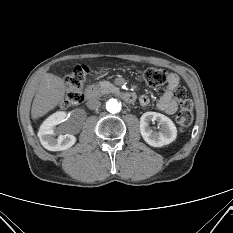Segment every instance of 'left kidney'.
<instances>
[{
  "instance_id": "5707ae66",
  "label": "left kidney",
  "mask_w": 233,
  "mask_h": 233,
  "mask_svg": "<svg viewBox=\"0 0 233 233\" xmlns=\"http://www.w3.org/2000/svg\"><path fill=\"white\" fill-rule=\"evenodd\" d=\"M157 122L159 131H154L150 122ZM140 133L150 146L162 147L173 142L177 137V128L167 116L157 112H146L140 118Z\"/></svg>"
}]
</instances>
